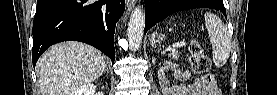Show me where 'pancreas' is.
<instances>
[{
  "instance_id": "pancreas-1",
  "label": "pancreas",
  "mask_w": 277,
  "mask_h": 95,
  "mask_svg": "<svg viewBox=\"0 0 277 95\" xmlns=\"http://www.w3.org/2000/svg\"><path fill=\"white\" fill-rule=\"evenodd\" d=\"M169 57L171 59L177 60L179 58V52L178 51H172V52H170Z\"/></svg>"
}]
</instances>
